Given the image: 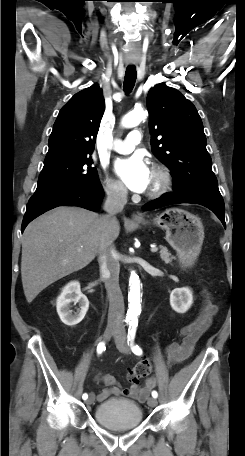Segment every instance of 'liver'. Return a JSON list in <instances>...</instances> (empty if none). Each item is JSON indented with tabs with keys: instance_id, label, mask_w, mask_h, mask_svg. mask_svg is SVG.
Masks as SVG:
<instances>
[{
	"instance_id": "liver-1",
	"label": "liver",
	"mask_w": 245,
	"mask_h": 456,
	"mask_svg": "<svg viewBox=\"0 0 245 456\" xmlns=\"http://www.w3.org/2000/svg\"><path fill=\"white\" fill-rule=\"evenodd\" d=\"M120 233L116 220L109 239ZM101 216L78 207H58L32 221L22 240L21 277L26 300L55 281L86 267L99 252Z\"/></svg>"
}]
</instances>
